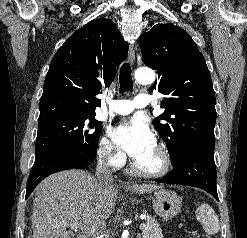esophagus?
Listing matches in <instances>:
<instances>
[{
    "mask_svg": "<svg viewBox=\"0 0 247 238\" xmlns=\"http://www.w3.org/2000/svg\"><path fill=\"white\" fill-rule=\"evenodd\" d=\"M129 61L132 65H134L135 62V48L133 45L129 46V54H128Z\"/></svg>",
    "mask_w": 247,
    "mask_h": 238,
    "instance_id": "34e87169",
    "label": "esophagus"
}]
</instances>
